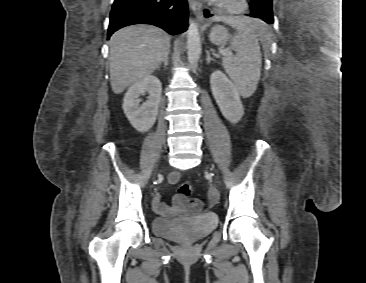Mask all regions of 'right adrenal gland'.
I'll use <instances>...</instances> for the list:
<instances>
[{
  "label": "right adrenal gland",
  "mask_w": 366,
  "mask_h": 283,
  "mask_svg": "<svg viewBox=\"0 0 366 283\" xmlns=\"http://www.w3.org/2000/svg\"><path fill=\"white\" fill-rule=\"evenodd\" d=\"M169 54H170V50L166 53V55H164L162 61L159 63V65L157 66V69H160V66L162 65V63L164 64V67H167L168 65V60H169Z\"/></svg>",
  "instance_id": "2a0ac1e0"
}]
</instances>
